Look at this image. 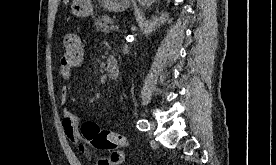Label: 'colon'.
<instances>
[{"label":"colon","mask_w":276,"mask_h":165,"mask_svg":"<svg viewBox=\"0 0 276 165\" xmlns=\"http://www.w3.org/2000/svg\"><path fill=\"white\" fill-rule=\"evenodd\" d=\"M64 52L61 59V65L73 68L81 64L84 56V47L81 39L76 34L65 36ZM83 137L96 149L113 150L116 157L123 153L127 145L124 136L101 129L94 121H86L81 127Z\"/></svg>","instance_id":"obj_1"}]
</instances>
